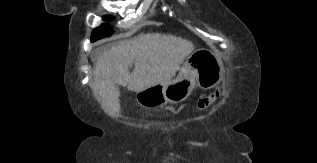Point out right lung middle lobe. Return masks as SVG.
I'll use <instances>...</instances> for the list:
<instances>
[{
  "label": "right lung middle lobe",
  "mask_w": 317,
  "mask_h": 163,
  "mask_svg": "<svg viewBox=\"0 0 317 163\" xmlns=\"http://www.w3.org/2000/svg\"><path fill=\"white\" fill-rule=\"evenodd\" d=\"M106 20H112V16L105 17ZM113 32L111 26L109 24H103L100 27L94 29L92 35H91V42L97 41L103 37L110 36Z\"/></svg>",
  "instance_id": "1"
}]
</instances>
